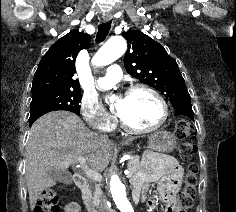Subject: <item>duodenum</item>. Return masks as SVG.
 Instances as JSON below:
<instances>
[{"mask_svg": "<svg viewBox=\"0 0 236 212\" xmlns=\"http://www.w3.org/2000/svg\"><path fill=\"white\" fill-rule=\"evenodd\" d=\"M74 182L77 185V187L82 191V193L84 194V196H87V192H88V182L86 177L84 176V174L82 172H76L74 174ZM140 197V192L136 191L134 192V199L135 201H138ZM89 212H100L98 209H96L95 207H91L89 209Z\"/></svg>", "mask_w": 236, "mask_h": 212, "instance_id": "1", "label": "duodenum"}]
</instances>
